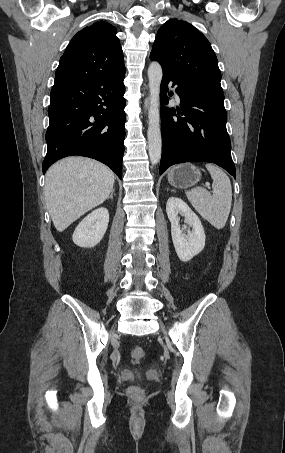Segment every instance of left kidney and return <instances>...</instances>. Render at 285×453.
Returning a JSON list of instances; mask_svg holds the SVG:
<instances>
[{
	"mask_svg": "<svg viewBox=\"0 0 285 453\" xmlns=\"http://www.w3.org/2000/svg\"><path fill=\"white\" fill-rule=\"evenodd\" d=\"M166 212L171 222L172 241L179 259L183 262L191 260L205 246V232L198 216L180 198L170 197L166 204ZM179 214L184 216L192 231L184 234L179 226Z\"/></svg>",
	"mask_w": 285,
	"mask_h": 453,
	"instance_id": "obj_1",
	"label": "left kidney"
}]
</instances>
